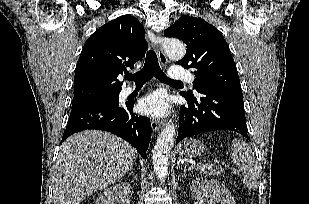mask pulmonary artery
Here are the masks:
<instances>
[{"label":"pulmonary artery","instance_id":"obj_1","mask_svg":"<svg viewBox=\"0 0 309 204\" xmlns=\"http://www.w3.org/2000/svg\"><path fill=\"white\" fill-rule=\"evenodd\" d=\"M169 78L172 80H184L190 83H194L195 81V76L191 72L180 68H171L169 71ZM134 90L135 88L133 87H126L123 90V94L129 95L134 92Z\"/></svg>","mask_w":309,"mask_h":204}]
</instances>
